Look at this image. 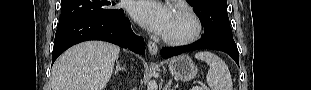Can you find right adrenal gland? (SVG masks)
<instances>
[{
    "instance_id": "right-adrenal-gland-1",
    "label": "right adrenal gland",
    "mask_w": 311,
    "mask_h": 90,
    "mask_svg": "<svg viewBox=\"0 0 311 90\" xmlns=\"http://www.w3.org/2000/svg\"><path fill=\"white\" fill-rule=\"evenodd\" d=\"M120 71H125V69L121 67L118 60H116V69H115L114 74H118Z\"/></svg>"
}]
</instances>
